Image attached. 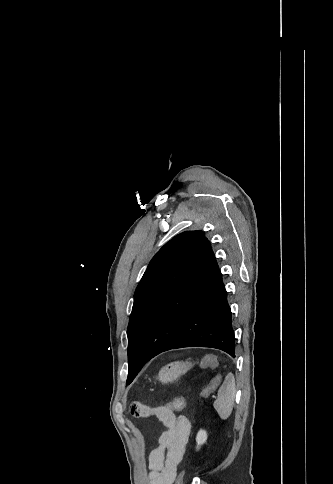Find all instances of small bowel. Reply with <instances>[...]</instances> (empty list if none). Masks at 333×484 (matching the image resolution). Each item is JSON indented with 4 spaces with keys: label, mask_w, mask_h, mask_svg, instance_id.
I'll use <instances>...</instances> for the list:
<instances>
[{
    "label": "small bowel",
    "mask_w": 333,
    "mask_h": 484,
    "mask_svg": "<svg viewBox=\"0 0 333 484\" xmlns=\"http://www.w3.org/2000/svg\"><path fill=\"white\" fill-rule=\"evenodd\" d=\"M132 412L141 417L155 416L166 427L158 447L149 455V481L150 484H173L189 440L190 420L164 406L151 408L135 403Z\"/></svg>",
    "instance_id": "obj_1"
}]
</instances>
